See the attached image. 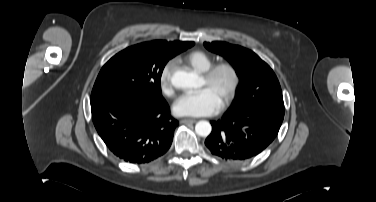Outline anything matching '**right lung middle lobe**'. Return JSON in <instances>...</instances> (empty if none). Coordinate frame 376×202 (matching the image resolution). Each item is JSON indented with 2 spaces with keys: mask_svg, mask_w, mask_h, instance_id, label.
<instances>
[{
  "mask_svg": "<svg viewBox=\"0 0 376 202\" xmlns=\"http://www.w3.org/2000/svg\"><path fill=\"white\" fill-rule=\"evenodd\" d=\"M193 45L194 42H181L158 53L142 43L126 48L102 67L91 98L109 92L162 97L160 80L165 64Z\"/></svg>",
  "mask_w": 376,
  "mask_h": 202,
  "instance_id": "dd1d6c3e",
  "label": "right lung middle lobe"
}]
</instances>
